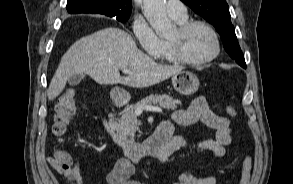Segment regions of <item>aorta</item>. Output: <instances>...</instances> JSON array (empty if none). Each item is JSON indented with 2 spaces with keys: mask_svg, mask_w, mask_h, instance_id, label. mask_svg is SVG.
<instances>
[{
  "mask_svg": "<svg viewBox=\"0 0 293 184\" xmlns=\"http://www.w3.org/2000/svg\"><path fill=\"white\" fill-rule=\"evenodd\" d=\"M144 16L156 34L165 36L173 29V23L167 17L165 0H143Z\"/></svg>",
  "mask_w": 293,
  "mask_h": 184,
  "instance_id": "obj_1",
  "label": "aorta"
}]
</instances>
